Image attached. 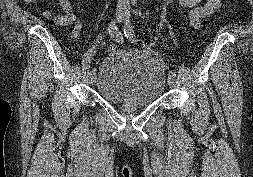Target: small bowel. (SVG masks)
I'll list each match as a JSON object with an SVG mask.
<instances>
[{
  "instance_id": "obj_1",
  "label": "small bowel",
  "mask_w": 253,
  "mask_h": 177,
  "mask_svg": "<svg viewBox=\"0 0 253 177\" xmlns=\"http://www.w3.org/2000/svg\"><path fill=\"white\" fill-rule=\"evenodd\" d=\"M47 2L48 0H24L27 5H32L37 2ZM177 0V3L184 9H189V22L194 28H198L202 20L212 16L217 9L221 6V0ZM58 4L61 7L63 13L53 15L52 12L47 9L43 12V16L46 18L53 17L56 24L60 26L73 25L72 38H77L80 35L82 29V22L80 17L75 12L71 2L69 0H58Z\"/></svg>"
}]
</instances>
